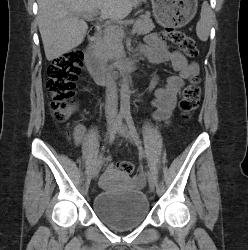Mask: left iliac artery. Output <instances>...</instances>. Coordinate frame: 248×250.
I'll return each instance as SVG.
<instances>
[{"label": "left iliac artery", "mask_w": 248, "mask_h": 250, "mask_svg": "<svg viewBox=\"0 0 248 250\" xmlns=\"http://www.w3.org/2000/svg\"><path fill=\"white\" fill-rule=\"evenodd\" d=\"M125 119H126L128 127L130 129V132L132 134V137L134 138L135 143L138 146L140 155L145 156V151H144V149L142 147L141 139L139 137V134L137 132V129L135 127V124H134V121H133V118H132L130 112L125 113Z\"/></svg>", "instance_id": "left-iliac-artery-1"}]
</instances>
